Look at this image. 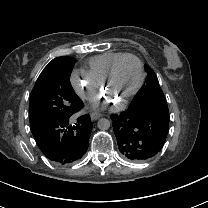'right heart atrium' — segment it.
<instances>
[{
    "label": "right heart atrium",
    "mask_w": 208,
    "mask_h": 208,
    "mask_svg": "<svg viewBox=\"0 0 208 208\" xmlns=\"http://www.w3.org/2000/svg\"><path fill=\"white\" fill-rule=\"evenodd\" d=\"M70 83L82 100L95 102L99 98L98 84L89 73L73 70L70 75Z\"/></svg>",
    "instance_id": "d8ad5b80"
}]
</instances>
